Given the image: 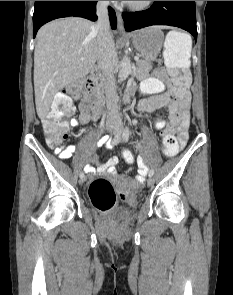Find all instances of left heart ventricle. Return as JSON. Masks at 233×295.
Masks as SVG:
<instances>
[{
    "instance_id": "left-heart-ventricle-1",
    "label": "left heart ventricle",
    "mask_w": 233,
    "mask_h": 295,
    "mask_svg": "<svg viewBox=\"0 0 233 295\" xmlns=\"http://www.w3.org/2000/svg\"><path fill=\"white\" fill-rule=\"evenodd\" d=\"M129 2H132V3H139V2H142V1H129Z\"/></svg>"
}]
</instances>
